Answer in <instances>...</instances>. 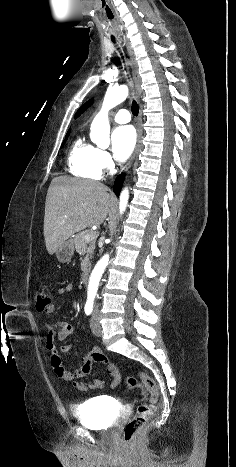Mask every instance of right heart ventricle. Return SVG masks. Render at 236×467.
Returning <instances> with one entry per match:
<instances>
[{"label": "right heart ventricle", "mask_w": 236, "mask_h": 467, "mask_svg": "<svg viewBox=\"0 0 236 467\" xmlns=\"http://www.w3.org/2000/svg\"><path fill=\"white\" fill-rule=\"evenodd\" d=\"M96 147L78 137L72 144L67 165L69 172L75 176L85 179L98 180L101 170L96 163Z\"/></svg>", "instance_id": "obj_1"}]
</instances>
